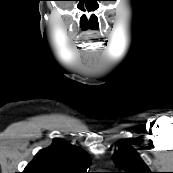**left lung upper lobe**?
<instances>
[{
    "instance_id": "5c2ea615",
    "label": "left lung upper lobe",
    "mask_w": 173,
    "mask_h": 173,
    "mask_svg": "<svg viewBox=\"0 0 173 173\" xmlns=\"http://www.w3.org/2000/svg\"><path fill=\"white\" fill-rule=\"evenodd\" d=\"M114 162L126 171L123 173H152L131 146H125L117 151L114 155Z\"/></svg>"
}]
</instances>
